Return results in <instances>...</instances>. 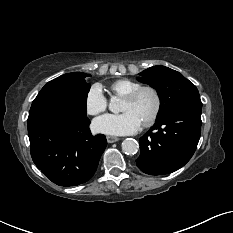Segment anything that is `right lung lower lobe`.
I'll use <instances>...</instances> for the list:
<instances>
[{
	"instance_id": "1",
	"label": "right lung lower lobe",
	"mask_w": 233,
	"mask_h": 233,
	"mask_svg": "<svg viewBox=\"0 0 233 233\" xmlns=\"http://www.w3.org/2000/svg\"><path fill=\"white\" fill-rule=\"evenodd\" d=\"M90 120L66 107H43L27 120L31 157L59 186H76L95 173L106 148L104 135H91Z\"/></svg>"
}]
</instances>
